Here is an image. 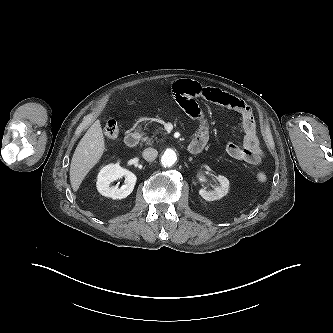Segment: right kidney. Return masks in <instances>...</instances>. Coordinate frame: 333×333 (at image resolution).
Instances as JSON below:
<instances>
[{"mask_svg": "<svg viewBox=\"0 0 333 333\" xmlns=\"http://www.w3.org/2000/svg\"><path fill=\"white\" fill-rule=\"evenodd\" d=\"M125 176V184L121 187L111 183ZM137 177L131 171L120 167L118 163L103 167L97 177V190L105 197L112 199L126 198L134 189Z\"/></svg>", "mask_w": 333, "mask_h": 333, "instance_id": "right-kidney-1", "label": "right kidney"}]
</instances>
